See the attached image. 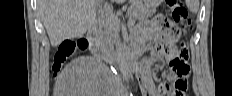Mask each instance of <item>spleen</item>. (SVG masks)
<instances>
[{"mask_svg":"<svg viewBox=\"0 0 232 96\" xmlns=\"http://www.w3.org/2000/svg\"><path fill=\"white\" fill-rule=\"evenodd\" d=\"M186 5L192 13H197L199 10V0H186Z\"/></svg>","mask_w":232,"mask_h":96,"instance_id":"3e777b00","label":"spleen"}]
</instances>
